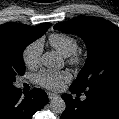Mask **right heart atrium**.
<instances>
[{
  "mask_svg": "<svg viewBox=\"0 0 119 119\" xmlns=\"http://www.w3.org/2000/svg\"><path fill=\"white\" fill-rule=\"evenodd\" d=\"M43 46L41 40H35L29 43L23 50L22 59L24 64L30 68H36L41 59Z\"/></svg>",
  "mask_w": 119,
  "mask_h": 119,
  "instance_id": "obj_1",
  "label": "right heart atrium"
}]
</instances>
